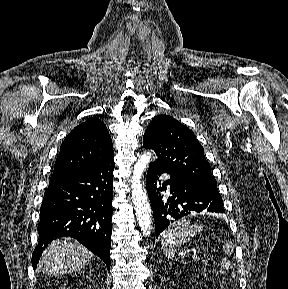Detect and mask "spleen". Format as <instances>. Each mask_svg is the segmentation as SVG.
<instances>
[{
  "mask_svg": "<svg viewBox=\"0 0 288 289\" xmlns=\"http://www.w3.org/2000/svg\"><path fill=\"white\" fill-rule=\"evenodd\" d=\"M203 230V227L198 224H191L186 218L171 224L161 234V245L165 256L168 258H174V248L187 243L191 238L199 234ZM223 268H229V261L226 258L222 259L221 263Z\"/></svg>",
  "mask_w": 288,
  "mask_h": 289,
  "instance_id": "spleen-1",
  "label": "spleen"
}]
</instances>
